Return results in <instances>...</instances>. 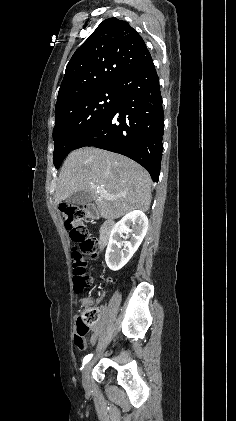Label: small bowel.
Segmentation results:
<instances>
[{"label":"small bowel","instance_id":"c3829d8e","mask_svg":"<svg viewBox=\"0 0 236 421\" xmlns=\"http://www.w3.org/2000/svg\"><path fill=\"white\" fill-rule=\"evenodd\" d=\"M110 282V280L108 281ZM84 302H87L86 300ZM102 310V309H101ZM103 326V323L100 322L99 324L95 325L93 328V333L90 336V341L93 342V337L96 335V333L101 329V327Z\"/></svg>","mask_w":236,"mask_h":421}]
</instances>
